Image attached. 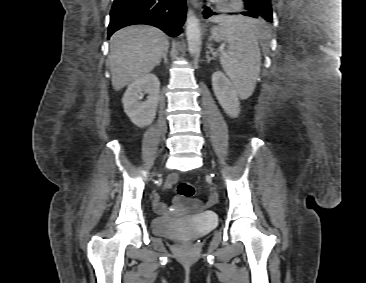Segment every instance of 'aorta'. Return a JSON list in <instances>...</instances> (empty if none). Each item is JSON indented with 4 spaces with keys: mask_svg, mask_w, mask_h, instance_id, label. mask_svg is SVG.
Returning a JSON list of instances; mask_svg holds the SVG:
<instances>
[{
    "mask_svg": "<svg viewBox=\"0 0 366 283\" xmlns=\"http://www.w3.org/2000/svg\"><path fill=\"white\" fill-rule=\"evenodd\" d=\"M186 36L188 42V50L192 56L200 50V24L194 11L192 9L188 10L186 19Z\"/></svg>",
    "mask_w": 366,
    "mask_h": 283,
    "instance_id": "1",
    "label": "aorta"
}]
</instances>
